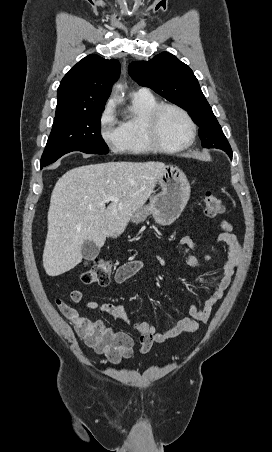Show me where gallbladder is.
Listing matches in <instances>:
<instances>
[{
  "instance_id": "gallbladder-1",
  "label": "gallbladder",
  "mask_w": 272,
  "mask_h": 452,
  "mask_svg": "<svg viewBox=\"0 0 272 452\" xmlns=\"http://www.w3.org/2000/svg\"><path fill=\"white\" fill-rule=\"evenodd\" d=\"M100 252V248L91 240H85L82 244V254L87 260L94 259Z\"/></svg>"
}]
</instances>
